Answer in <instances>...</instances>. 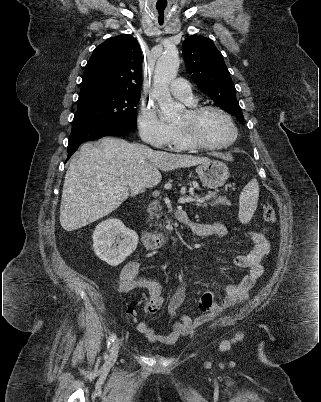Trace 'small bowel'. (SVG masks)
<instances>
[{"mask_svg":"<svg viewBox=\"0 0 321 402\" xmlns=\"http://www.w3.org/2000/svg\"><path fill=\"white\" fill-rule=\"evenodd\" d=\"M186 227L199 237H223L226 235V228L223 224L198 223L188 219L184 220ZM248 238L252 242V249L247 254H238L233 258V263L239 268L247 270L238 284H229L224 288V296L219 301H215L213 290H207L199 300V308L207 301H211V307L196 318L180 314L179 308L185 300V286L180 284L172 295L168 312L174 319L173 330L169 334L161 335L152 329L145 321L137 323L136 328L149 342L171 345L181 337L190 334L201 324L214 320L221 315L227 308L243 301L248 296L256 281L264 272L263 262L270 251V242L267 238L265 229L252 230L248 233ZM140 265L137 262L127 263L119 276V290L128 293L138 288H144L149 294V298L144 302V312L147 315L157 313L164 303L161 285L151 279L138 276Z\"/></svg>","mask_w":321,"mask_h":402,"instance_id":"small-bowel-1","label":"small bowel"}]
</instances>
